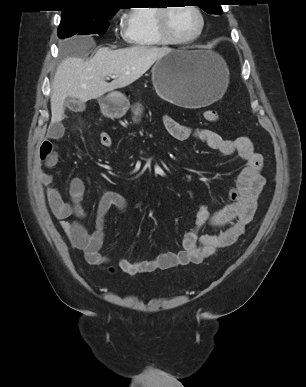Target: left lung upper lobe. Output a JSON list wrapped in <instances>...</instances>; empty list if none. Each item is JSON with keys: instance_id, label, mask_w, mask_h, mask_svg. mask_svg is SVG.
<instances>
[{"instance_id": "5c2ea615", "label": "left lung upper lobe", "mask_w": 306, "mask_h": 387, "mask_svg": "<svg viewBox=\"0 0 306 387\" xmlns=\"http://www.w3.org/2000/svg\"><path fill=\"white\" fill-rule=\"evenodd\" d=\"M221 2L223 0H197L198 6L205 12L217 15L222 13Z\"/></svg>"}]
</instances>
